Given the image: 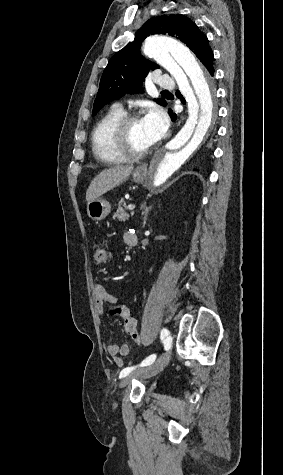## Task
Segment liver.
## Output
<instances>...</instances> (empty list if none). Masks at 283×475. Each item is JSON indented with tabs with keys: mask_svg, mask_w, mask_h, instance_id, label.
<instances>
[{
	"mask_svg": "<svg viewBox=\"0 0 283 475\" xmlns=\"http://www.w3.org/2000/svg\"><path fill=\"white\" fill-rule=\"evenodd\" d=\"M134 166H114V168H108V170H102L94 180H92L87 192V202H93L97 200L109 190H113L125 180H128Z\"/></svg>",
	"mask_w": 283,
	"mask_h": 475,
	"instance_id": "6515ba94",
	"label": "liver"
}]
</instances>
